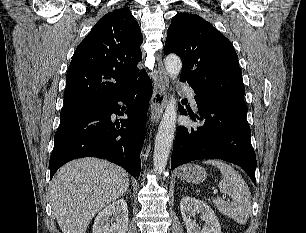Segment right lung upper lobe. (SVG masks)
Masks as SVG:
<instances>
[{"instance_id":"right-lung-upper-lobe-1","label":"right lung upper lobe","mask_w":306,"mask_h":233,"mask_svg":"<svg viewBox=\"0 0 306 233\" xmlns=\"http://www.w3.org/2000/svg\"><path fill=\"white\" fill-rule=\"evenodd\" d=\"M143 41L131 12L116 9L103 16L77 47L66 75L64 107L101 104L124 94L137 78Z\"/></svg>"}]
</instances>
